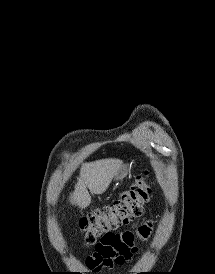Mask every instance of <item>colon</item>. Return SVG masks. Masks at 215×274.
<instances>
[{
  "label": "colon",
  "mask_w": 215,
  "mask_h": 274,
  "mask_svg": "<svg viewBox=\"0 0 215 274\" xmlns=\"http://www.w3.org/2000/svg\"><path fill=\"white\" fill-rule=\"evenodd\" d=\"M151 188L148 173L140 174L130 189L123 192L118 199L83 217L79 228L85 243L92 245L98 238L142 216Z\"/></svg>",
  "instance_id": "obj_1"
}]
</instances>
